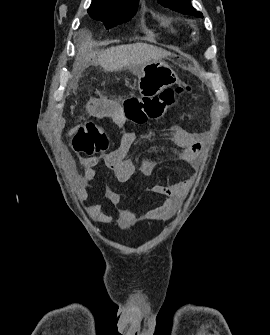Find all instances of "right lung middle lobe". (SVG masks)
I'll return each instance as SVG.
<instances>
[{"label":"right lung middle lobe","mask_w":270,"mask_h":335,"mask_svg":"<svg viewBox=\"0 0 270 335\" xmlns=\"http://www.w3.org/2000/svg\"><path fill=\"white\" fill-rule=\"evenodd\" d=\"M138 4L116 7H102L91 4L88 13L94 20L102 21L107 29L129 21L135 14Z\"/></svg>","instance_id":"1"}]
</instances>
